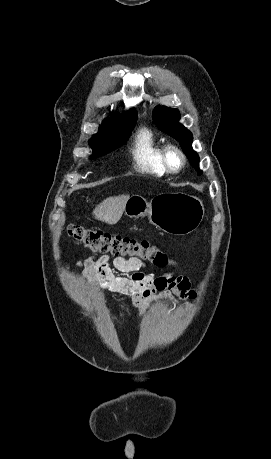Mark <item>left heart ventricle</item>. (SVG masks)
Masks as SVG:
<instances>
[{
  "label": "left heart ventricle",
  "mask_w": 271,
  "mask_h": 459,
  "mask_svg": "<svg viewBox=\"0 0 271 459\" xmlns=\"http://www.w3.org/2000/svg\"><path fill=\"white\" fill-rule=\"evenodd\" d=\"M171 162L174 167H179L180 165V158L177 154L171 155Z\"/></svg>",
  "instance_id": "left-heart-ventricle-1"
}]
</instances>
